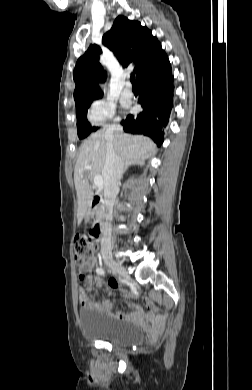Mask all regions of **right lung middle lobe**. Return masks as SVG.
Listing matches in <instances>:
<instances>
[{"label":"right lung middle lobe","mask_w":252,"mask_h":390,"mask_svg":"<svg viewBox=\"0 0 252 390\" xmlns=\"http://www.w3.org/2000/svg\"><path fill=\"white\" fill-rule=\"evenodd\" d=\"M91 102L76 108V116H77V129L78 136L80 139L87 137L92 131L97 130L96 127H91L86 118V112L89 108Z\"/></svg>","instance_id":"1"}]
</instances>
